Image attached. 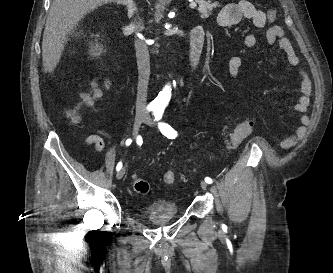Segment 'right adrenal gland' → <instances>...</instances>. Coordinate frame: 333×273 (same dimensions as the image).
<instances>
[{
	"label": "right adrenal gland",
	"instance_id": "obj_1",
	"mask_svg": "<svg viewBox=\"0 0 333 273\" xmlns=\"http://www.w3.org/2000/svg\"><path fill=\"white\" fill-rule=\"evenodd\" d=\"M118 5H123L126 7L128 18H132L134 13L137 11L136 4L133 0H118Z\"/></svg>",
	"mask_w": 333,
	"mask_h": 273
}]
</instances>
